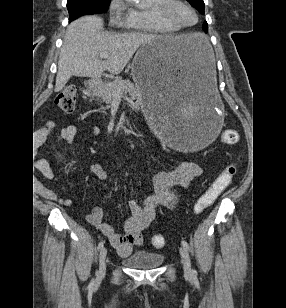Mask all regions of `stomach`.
<instances>
[{
  "label": "stomach",
  "instance_id": "0dacf381",
  "mask_svg": "<svg viewBox=\"0 0 286 308\" xmlns=\"http://www.w3.org/2000/svg\"><path fill=\"white\" fill-rule=\"evenodd\" d=\"M215 48L201 36H155L140 44L131 75L142 91L143 114L160 144L181 153H198L222 123ZM92 84V82H90Z\"/></svg>",
  "mask_w": 286,
  "mask_h": 308
}]
</instances>
